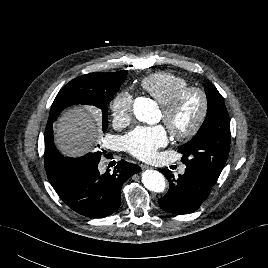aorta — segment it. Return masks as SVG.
I'll list each match as a JSON object with an SVG mask.
<instances>
[{"label": "aorta", "instance_id": "1", "mask_svg": "<svg viewBox=\"0 0 268 268\" xmlns=\"http://www.w3.org/2000/svg\"><path fill=\"white\" fill-rule=\"evenodd\" d=\"M135 117L148 124L158 122V110L149 98L139 97L133 105ZM142 183L144 186L154 192H163L166 186L164 176L155 170H146L142 173Z\"/></svg>", "mask_w": 268, "mask_h": 268}]
</instances>
